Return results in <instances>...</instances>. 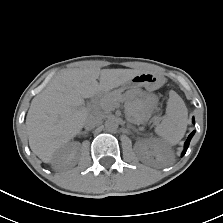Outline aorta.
I'll use <instances>...</instances> for the list:
<instances>
[{
	"label": "aorta",
	"instance_id": "aorta-1",
	"mask_svg": "<svg viewBox=\"0 0 223 223\" xmlns=\"http://www.w3.org/2000/svg\"><path fill=\"white\" fill-rule=\"evenodd\" d=\"M105 127L110 132L116 131V129L118 128V122L114 117H109L105 121Z\"/></svg>",
	"mask_w": 223,
	"mask_h": 223
}]
</instances>
